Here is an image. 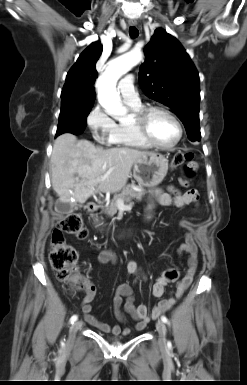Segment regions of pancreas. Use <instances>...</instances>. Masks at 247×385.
<instances>
[{"instance_id": "cf45deb5", "label": "pancreas", "mask_w": 247, "mask_h": 385, "mask_svg": "<svg viewBox=\"0 0 247 385\" xmlns=\"http://www.w3.org/2000/svg\"><path fill=\"white\" fill-rule=\"evenodd\" d=\"M144 194V190H135L132 185H127L120 193L115 194L113 199L105 206V213L113 217L118 211V201L125 203H130L132 199L141 201Z\"/></svg>"}]
</instances>
